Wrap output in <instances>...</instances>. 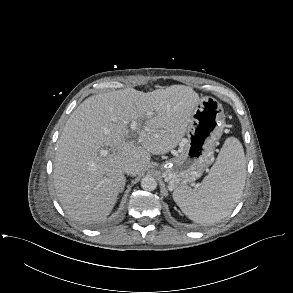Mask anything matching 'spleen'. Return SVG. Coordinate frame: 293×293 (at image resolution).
Masks as SVG:
<instances>
[{
    "mask_svg": "<svg viewBox=\"0 0 293 293\" xmlns=\"http://www.w3.org/2000/svg\"><path fill=\"white\" fill-rule=\"evenodd\" d=\"M246 179V162L237 138L225 140L214 165L199 188L184 186L173 199L192 221L213 224L229 216L240 199Z\"/></svg>",
    "mask_w": 293,
    "mask_h": 293,
    "instance_id": "obj_1",
    "label": "spleen"
}]
</instances>
